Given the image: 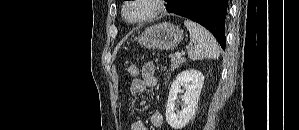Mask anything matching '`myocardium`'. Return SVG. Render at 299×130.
Returning a JSON list of instances; mask_svg holds the SVG:
<instances>
[{
    "instance_id": "obj_1",
    "label": "myocardium",
    "mask_w": 299,
    "mask_h": 130,
    "mask_svg": "<svg viewBox=\"0 0 299 130\" xmlns=\"http://www.w3.org/2000/svg\"><path fill=\"white\" fill-rule=\"evenodd\" d=\"M165 1L163 0H129L126 1L121 9V16L125 23L137 25L157 17L163 10ZM133 8H143L142 14L130 17L129 11Z\"/></svg>"
}]
</instances>
